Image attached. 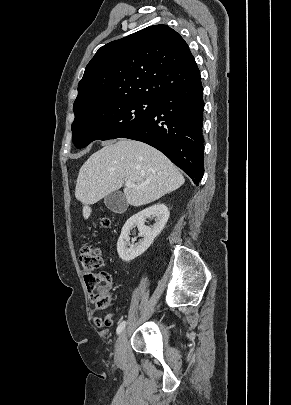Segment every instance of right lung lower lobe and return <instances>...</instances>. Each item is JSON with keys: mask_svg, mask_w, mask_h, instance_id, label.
<instances>
[{"mask_svg": "<svg viewBox=\"0 0 291 405\" xmlns=\"http://www.w3.org/2000/svg\"><path fill=\"white\" fill-rule=\"evenodd\" d=\"M203 87L200 76L158 95L147 119L122 136L164 153L195 184L204 174Z\"/></svg>", "mask_w": 291, "mask_h": 405, "instance_id": "98d812e1", "label": "right lung lower lobe"}]
</instances>
